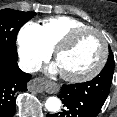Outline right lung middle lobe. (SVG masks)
<instances>
[{"mask_svg":"<svg viewBox=\"0 0 117 117\" xmlns=\"http://www.w3.org/2000/svg\"><path fill=\"white\" fill-rule=\"evenodd\" d=\"M35 15V12L0 10V55L9 60H17V34L20 28Z\"/></svg>","mask_w":117,"mask_h":117,"instance_id":"1","label":"right lung middle lobe"}]
</instances>
